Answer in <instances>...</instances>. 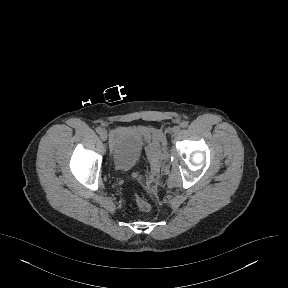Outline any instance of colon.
Returning <instances> with one entry per match:
<instances>
[{
  "label": "colon",
  "instance_id": "5ec220e1",
  "mask_svg": "<svg viewBox=\"0 0 288 288\" xmlns=\"http://www.w3.org/2000/svg\"><path fill=\"white\" fill-rule=\"evenodd\" d=\"M134 201L136 204V207L138 208L139 211L141 212H148L150 211V204L149 202L142 196L140 195H135Z\"/></svg>",
  "mask_w": 288,
  "mask_h": 288
}]
</instances>
